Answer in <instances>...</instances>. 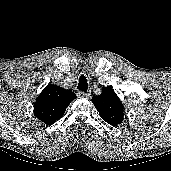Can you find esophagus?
I'll use <instances>...</instances> for the list:
<instances>
[{"label": "esophagus", "instance_id": "obj_1", "mask_svg": "<svg viewBox=\"0 0 171 171\" xmlns=\"http://www.w3.org/2000/svg\"><path fill=\"white\" fill-rule=\"evenodd\" d=\"M77 96L79 97V98H82V99H88L89 97H90V94L89 93H85V92H78L77 93Z\"/></svg>", "mask_w": 171, "mask_h": 171}]
</instances>
